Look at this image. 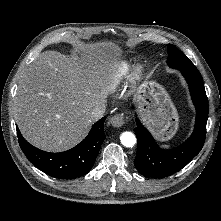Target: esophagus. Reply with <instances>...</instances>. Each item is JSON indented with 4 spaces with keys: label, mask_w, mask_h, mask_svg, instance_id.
<instances>
[{
    "label": "esophagus",
    "mask_w": 221,
    "mask_h": 221,
    "mask_svg": "<svg viewBox=\"0 0 221 221\" xmlns=\"http://www.w3.org/2000/svg\"><path fill=\"white\" fill-rule=\"evenodd\" d=\"M110 123L114 127H121L124 124V114L118 113L110 118Z\"/></svg>",
    "instance_id": "obj_1"
}]
</instances>
